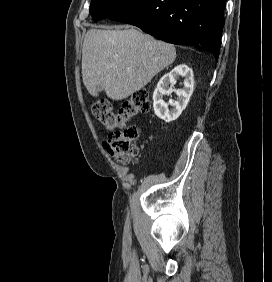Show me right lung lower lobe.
Instances as JSON below:
<instances>
[{
    "label": "right lung lower lobe",
    "instance_id": "obj_1",
    "mask_svg": "<svg viewBox=\"0 0 272 282\" xmlns=\"http://www.w3.org/2000/svg\"><path fill=\"white\" fill-rule=\"evenodd\" d=\"M226 0H137L109 19L173 44H190L217 59Z\"/></svg>",
    "mask_w": 272,
    "mask_h": 282
}]
</instances>
